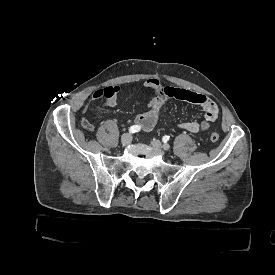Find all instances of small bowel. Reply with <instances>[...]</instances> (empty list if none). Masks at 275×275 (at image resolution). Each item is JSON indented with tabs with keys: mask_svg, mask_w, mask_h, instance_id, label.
Returning a JSON list of instances; mask_svg holds the SVG:
<instances>
[{
	"mask_svg": "<svg viewBox=\"0 0 275 275\" xmlns=\"http://www.w3.org/2000/svg\"><path fill=\"white\" fill-rule=\"evenodd\" d=\"M157 84L160 87V94L157 97H154L149 102L148 110L138 114L134 121L143 131H151L157 124L160 112L162 110L165 102L170 99H178L191 103L200 104L203 109V118L202 120L193 119L187 122L180 123L179 128L191 132L198 133L201 131H206L210 128L211 124L216 121L219 113L218 106L214 101L208 98L205 95L196 93L192 90L180 87L166 86L162 87L158 78L148 79L144 85L148 87L150 84ZM102 90L95 92L90 98L86 107L89 104L97 99H100L98 95ZM118 103V98L116 92L114 96L107 99V105L109 107H114ZM82 127L88 131L94 130V125L91 122H86L82 119Z\"/></svg>",
	"mask_w": 275,
	"mask_h": 275,
	"instance_id": "obj_1",
	"label": "small bowel"
}]
</instances>
